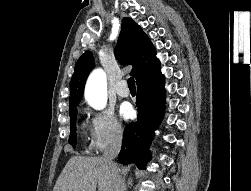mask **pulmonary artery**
I'll return each mask as SVG.
<instances>
[{"mask_svg":"<svg viewBox=\"0 0 251 191\" xmlns=\"http://www.w3.org/2000/svg\"><path fill=\"white\" fill-rule=\"evenodd\" d=\"M116 92L121 97H128L129 96L130 91H129V88H128L125 80H121L118 83V85L116 87Z\"/></svg>","mask_w":251,"mask_h":191,"instance_id":"pulmonary-artery-1","label":"pulmonary artery"}]
</instances>
